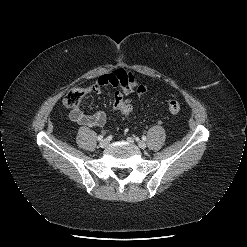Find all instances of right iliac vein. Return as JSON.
I'll return each mask as SVG.
<instances>
[{"label": "right iliac vein", "instance_id": "1", "mask_svg": "<svg viewBox=\"0 0 247 247\" xmlns=\"http://www.w3.org/2000/svg\"><path fill=\"white\" fill-rule=\"evenodd\" d=\"M108 144H109V141H108L107 139H104V140H102V141L99 143V146H100L101 148H105V147L108 146Z\"/></svg>", "mask_w": 247, "mask_h": 247}]
</instances>
